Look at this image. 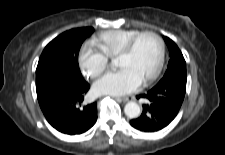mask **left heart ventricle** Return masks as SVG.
<instances>
[{"label": "left heart ventricle", "instance_id": "1", "mask_svg": "<svg viewBox=\"0 0 225 155\" xmlns=\"http://www.w3.org/2000/svg\"><path fill=\"white\" fill-rule=\"evenodd\" d=\"M158 54L157 40L152 36H144L138 40L129 55L117 58L116 66L132 70L143 81L154 70Z\"/></svg>", "mask_w": 225, "mask_h": 155}]
</instances>
